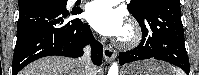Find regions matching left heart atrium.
<instances>
[{
    "label": "left heart atrium",
    "instance_id": "obj_1",
    "mask_svg": "<svg viewBox=\"0 0 199 75\" xmlns=\"http://www.w3.org/2000/svg\"><path fill=\"white\" fill-rule=\"evenodd\" d=\"M86 19L100 34L121 36L125 29L124 15L110 1H93L86 9Z\"/></svg>",
    "mask_w": 199,
    "mask_h": 75
}]
</instances>
